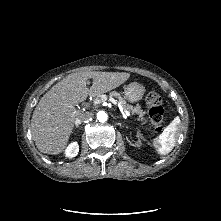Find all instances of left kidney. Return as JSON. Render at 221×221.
I'll use <instances>...</instances> for the list:
<instances>
[{"label":"left kidney","instance_id":"left-kidney-1","mask_svg":"<svg viewBox=\"0 0 221 221\" xmlns=\"http://www.w3.org/2000/svg\"><path fill=\"white\" fill-rule=\"evenodd\" d=\"M138 138H139V136H138ZM133 146H135V147H140V146H141V141H140V139H138V142L135 143V144H133Z\"/></svg>","mask_w":221,"mask_h":221}]
</instances>
